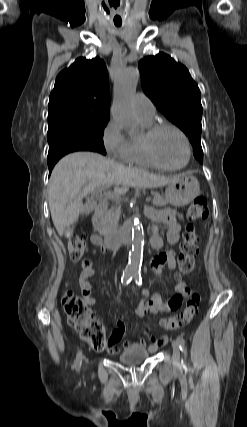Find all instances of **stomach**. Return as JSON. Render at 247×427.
Wrapping results in <instances>:
<instances>
[{
    "instance_id": "obj_1",
    "label": "stomach",
    "mask_w": 247,
    "mask_h": 427,
    "mask_svg": "<svg viewBox=\"0 0 247 427\" xmlns=\"http://www.w3.org/2000/svg\"><path fill=\"white\" fill-rule=\"evenodd\" d=\"M200 194V184L197 178L187 172L179 175L169 183L165 191V199L176 207L186 206Z\"/></svg>"
}]
</instances>
